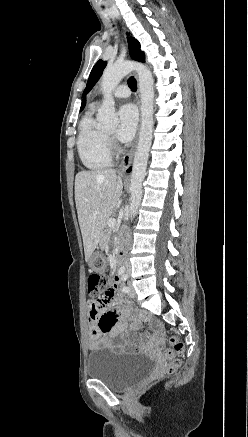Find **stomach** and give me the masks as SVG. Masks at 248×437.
<instances>
[{
  "instance_id": "obj_1",
  "label": "stomach",
  "mask_w": 248,
  "mask_h": 437,
  "mask_svg": "<svg viewBox=\"0 0 248 437\" xmlns=\"http://www.w3.org/2000/svg\"><path fill=\"white\" fill-rule=\"evenodd\" d=\"M88 264L94 273H103L106 259L101 253H95L89 258Z\"/></svg>"
}]
</instances>
